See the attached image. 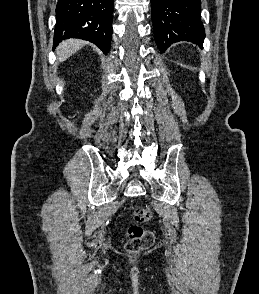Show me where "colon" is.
I'll return each instance as SVG.
<instances>
[{"label": "colon", "mask_w": 259, "mask_h": 294, "mask_svg": "<svg viewBox=\"0 0 259 294\" xmlns=\"http://www.w3.org/2000/svg\"><path fill=\"white\" fill-rule=\"evenodd\" d=\"M152 214L147 207H135L132 210V218L135 224L131 225L128 230V239L126 242V250L131 253L140 252L148 249L154 243V234L148 229H144L141 225L148 222Z\"/></svg>", "instance_id": "obj_1"}]
</instances>
